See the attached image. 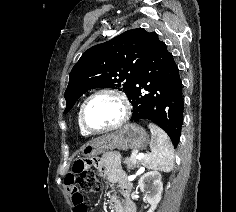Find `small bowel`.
<instances>
[{
    "mask_svg": "<svg viewBox=\"0 0 236 212\" xmlns=\"http://www.w3.org/2000/svg\"><path fill=\"white\" fill-rule=\"evenodd\" d=\"M100 166L102 173L117 186V192L110 198V206L113 211L136 212V206L128 196L131 183L128 181L119 161L115 159L113 154H106L101 157ZM75 174V169H73V173L66 177L65 185L70 194L75 212H87L84 197L75 186V180H77V175Z\"/></svg>",
    "mask_w": 236,
    "mask_h": 212,
    "instance_id": "1",
    "label": "small bowel"
}]
</instances>
